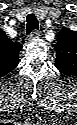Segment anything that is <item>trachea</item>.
Returning <instances> with one entry per match:
<instances>
[{"label": "trachea", "mask_w": 77, "mask_h": 125, "mask_svg": "<svg viewBox=\"0 0 77 125\" xmlns=\"http://www.w3.org/2000/svg\"><path fill=\"white\" fill-rule=\"evenodd\" d=\"M26 21V34H30L31 32L38 30V20L34 14H29Z\"/></svg>", "instance_id": "trachea-1"}]
</instances>
